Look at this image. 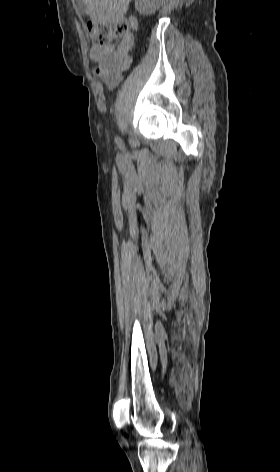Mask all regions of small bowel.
I'll return each instance as SVG.
<instances>
[{
	"mask_svg": "<svg viewBox=\"0 0 280 472\" xmlns=\"http://www.w3.org/2000/svg\"><path fill=\"white\" fill-rule=\"evenodd\" d=\"M130 24L134 30L138 29L136 19L131 18ZM134 47V36L127 34L115 45L93 46L91 48L90 57L97 63L95 74L108 89H113L120 83L122 70L128 67Z\"/></svg>",
	"mask_w": 280,
	"mask_h": 472,
	"instance_id": "obj_1",
	"label": "small bowel"
}]
</instances>
